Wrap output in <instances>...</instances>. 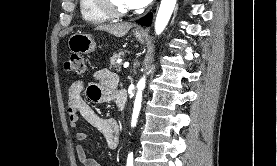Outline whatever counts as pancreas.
Returning <instances> with one entry per match:
<instances>
[{
	"label": "pancreas",
	"instance_id": "1",
	"mask_svg": "<svg viewBox=\"0 0 277 166\" xmlns=\"http://www.w3.org/2000/svg\"><path fill=\"white\" fill-rule=\"evenodd\" d=\"M126 51L120 50L118 53H114L110 58V69L120 71V63H117V59L124 56Z\"/></svg>",
	"mask_w": 277,
	"mask_h": 166
}]
</instances>
